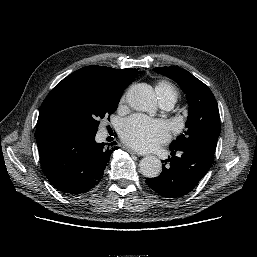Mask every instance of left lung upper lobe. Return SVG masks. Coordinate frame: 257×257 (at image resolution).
Instances as JSON below:
<instances>
[{"label":"left lung upper lobe","mask_w":257,"mask_h":257,"mask_svg":"<svg viewBox=\"0 0 257 257\" xmlns=\"http://www.w3.org/2000/svg\"><path fill=\"white\" fill-rule=\"evenodd\" d=\"M154 71L177 82L189 105L187 130L170 147L203 146L215 151L221 126L217 101L208 86L180 67H158Z\"/></svg>","instance_id":"left-lung-upper-lobe-1"}]
</instances>
